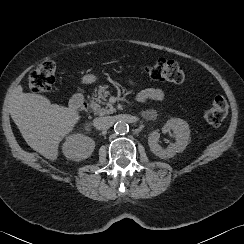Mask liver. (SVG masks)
<instances>
[{"label": "liver", "instance_id": "obj_1", "mask_svg": "<svg viewBox=\"0 0 244 244\" xmlns=\"http://www.w3.org/2000/svg\"><path fill=\"white\" fill-rule=\"evenodd\" d=\"M10 114L27 144L45 158L55 161L60 141L80 120L77 111L51 104L45 96L23 93L17 88L10 99Z\"/></svg>", "mask_w": 244, "mask_h": 244}]
</instances>
